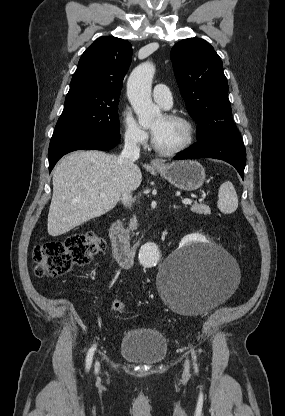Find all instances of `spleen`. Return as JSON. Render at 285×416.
Segmentation results:
<instances>
[{
  "instance_id": "obj_1",
  "label": "spleen",
  "mask_w": 285,
  "mask_h": 416,
  "mask_svg": "<svg viewBox=\"0 0 285 416\" xmlns=\"http://www.w3.org/2000/svg\"><path fill=\"white\" fill-rule=\"evenodd\" d=\"M218 208L222 214H233L238 208L236 190L231 182H224L219 188Z\"/></svg>"
}]
</instances>
